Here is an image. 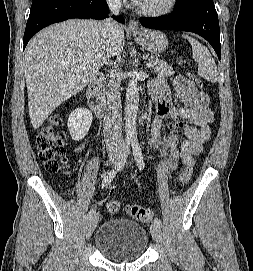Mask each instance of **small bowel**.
Segmentation results:
<instances>
[{"label": "small bowel", "instance_id": "small-bowel-1", "mask_svg": "<svg viewBox=\"0 0 253 271\" xmlns=\"http://www.w3.org/2000/svg\"><path fill=\"white\" fill-rule=\"evenodd\" d=\"M173 88L185 108L172 105L170 85L165 78H156L150 86L151 95L157 98L151 142L154 148L164 146L167 149L165 160L169 168L177 167L180 162L183 165L193 162V157L202 152L203 145L210 139L211 124L214 121L208 98L198 91L195 80L178 75L173 80ZM163 127L171 131L164 138L161 137ZM176 128H183V141L173 132ZM84 146L85 142L75 148V153L80 152Z\"/></svg>", "mask_w": 253, "mask_h": 271}]
</instances>
